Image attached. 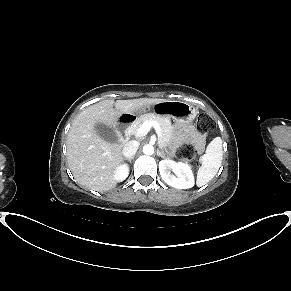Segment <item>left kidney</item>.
I'll use <instances>...</instances> for the list:
<instances>
[{
    "label": "left kidney",
    "instance_id": "left-kidney-1",
    "mask_svg": "<svg viewBox=\"0 0 291 291\" xmlns=\"http://www.w3.org/2000/svg\"><path fill=\"white\" fill-rule=\"evenodd\" d=\"M159 171L162 180L171 187L189 189L195 184L192 169L186 163L167 159L161 160L159 162ZM171 172H174L176 176Z\"/></svg>",
    "mask_w": 291,
    "mask_h": 291
}]
</instances>
